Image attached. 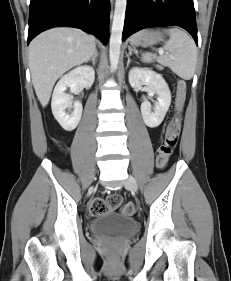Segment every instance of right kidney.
Wrapping results in <instances>:
<instances>
[{"label": "right kidney", "instance_id": "1", "mask_svg": "<svg viewBox=\"0 0 231 281\" xmlns=\"http://www.w3.org/2000/svg\"><path fill=\"white\" fill-rule=\"evenodd\" d=\"M95 78L94 70L89 66H80L61 77L56 84L51 108L55 119L67 131L74 130L80 122L82 115V104L74 102L73 111L67 113L66 109L72 108L71 98L65 91L69 87L71 92H76L81 88L91 87Z\"/></svg>", "mask_w": 231, "mask_h": 281}]
</instances>
